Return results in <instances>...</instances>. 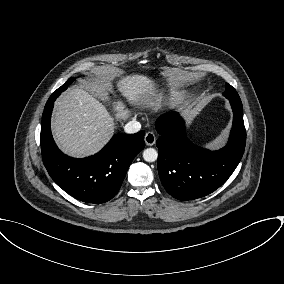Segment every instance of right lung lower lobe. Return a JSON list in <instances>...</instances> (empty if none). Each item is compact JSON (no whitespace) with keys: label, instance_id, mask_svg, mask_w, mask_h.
Masks as SVG:
<instances>
[{"label":"right lung lower lobe","instance_id":"1","mask_svg":"<svg viewBox=\"0 0 284 284\" xmlns=\"http://www.w3.org/2000/svg\"><path fill=\"white\" fill-rule=\"evenodd\" d=\"M57 97L45 105L41 123L43 163L55 183L74 198L87 203H104L119 191L135 156L144 149V131L116 134L97 154L76 159L63 154L56 146L50 118Z\"/></svg>","mask_w":284,"mask_h":284}]
</instances>
